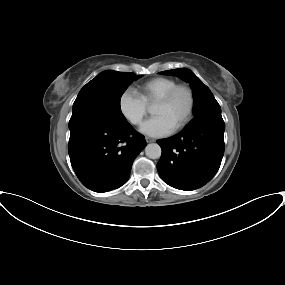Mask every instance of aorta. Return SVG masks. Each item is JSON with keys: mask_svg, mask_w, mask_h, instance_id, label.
<instances>
[{"mask_svg": "<svg viewBox=\"0 0 285 285\" xmlns=\"http://www.w3.org/2000/svg\"><path fill=\"white\" fill-rule=\"evenodd\" d=\"M161 153V147L157 143H151L145 147V154L150 159L160 158Z\"/></svg>", "mask_w": 285, "mask_h": 285, "instance_id": "obj_1", "label": "aorta"}]
</instances>
